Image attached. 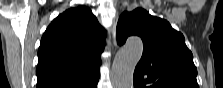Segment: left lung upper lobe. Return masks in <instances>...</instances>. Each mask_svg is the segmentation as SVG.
Here are the masks:
<instances>
[{"label":"left lung upper lobe","instance_id":"left-lung-upper-lobe-1","mask_svg":"<svg viewBox=\"0 0 223 88\" xmlns=\"http://www.w3.org/2000/svg\"><path fill=\"white\" fill-rule=\"evenodd\" d=\"M138 35L143 41L142 58L134 71L138 88H199L193 55L185 38L169 22L137 8L124 12L117 24V41Z\"/></svg>","mask_w":223,"mask_h":88}]
</instances>
